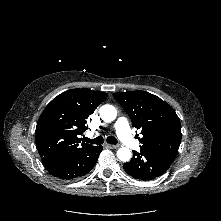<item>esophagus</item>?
Segmentation results:
<instances>
[{
    "label": "esophagus",
    "instance_id": "obj_1",
    "mask_svg": "<svg viewBox=\"0 0 221 221\" xmlns=\"http://www.w3.org/2000/svg\"><path fill=\"white\" fill-rule=\"evenodd\" d=\"M106 147L110 148V149H116L119 146L118 145H112V144H106Z\"/></svg>",
    "mask_w": 221,
    "mask_h": 221
}]
</instances>
